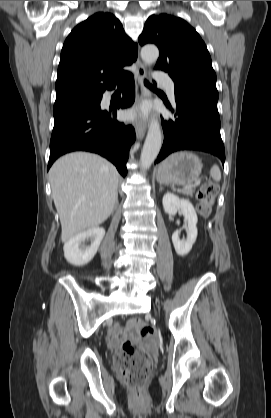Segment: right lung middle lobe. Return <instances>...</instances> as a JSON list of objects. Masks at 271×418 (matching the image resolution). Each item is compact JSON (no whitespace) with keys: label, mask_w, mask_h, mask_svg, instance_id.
Here are the masks:
<instances>
[{"label":"right lung middle lobe","mask_w":271,"mask_h":418,"mask_svg":"<svg viewBox=\"0 0 271 418\" xmlns=\"http://www.w3.org/2000/svg\"><path fill=\"white\" fill-rule=\"evenodd\" d=\"M99 101H100V97H88V98L73 99V100L55 103L53 113L54 115H57L62 111H65L71 108L80 107V106L90 105L93 103H97Z\"/></svg>","instance_id":"right-lung-middle-lobe-1"}]
</instances>
